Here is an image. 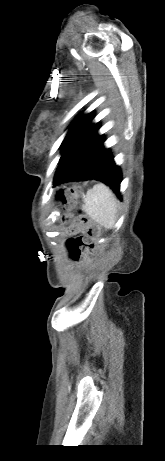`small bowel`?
Wrapping results in <instances>:
<instances>
[{
    "instance_id": "c3829d8e",
    "label": "small bowel",
    "mask_w": 165,
    "mask_h": 461,
    "mask_svg": "<svg viewBox=\"0 0 165 461\" xmlns=\"http://www.w3.org/2000/svg\"><path fill=\"white\" fill-rule=\"evenodd\" d=\"M73 228L74 230H80L81 225L75 223ZM66 234V241L62 245V252L65 253V262L80 266L82 264L81 256L86 255V248H83L84 242H89L93 231L92 229H83L82 234H71V231L67 230Z\"/></svg>"
}]
</instances>
